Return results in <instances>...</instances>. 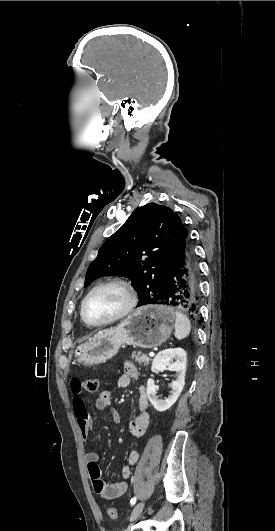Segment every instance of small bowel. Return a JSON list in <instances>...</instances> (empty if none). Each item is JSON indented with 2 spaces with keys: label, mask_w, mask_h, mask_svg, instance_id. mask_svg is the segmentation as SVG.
I'll use <instances>...</instances> for the list:
<instances>
[{
  "label": "small bowel",
  "mask_w": 275,
  "mask_h": 531,
  "mask_svg": "<svg viewBox=\"0 0 275 531\" xmlns=\"http://www.w3.org/2000/svg\"><path fill=\"white\" fill-rule=\"evenodd\" d=\"M139 372L136 366L130 362L124 363V371L117 380L118 388H126L133 379H138ZM67 380L70 385V394L77 398L83 392L77 388L82 377L80 373H69ZM113 393L109 389L100 391L95 405L98 410H106L110 408L112 403ZM73 412L77 418L80 433L84 439H87L89 434L93 431V422L88 416L84 400H73ZM110 416L113 422L119 423L121 415L118 410L111 408ZM150 427V413H149V399L145 387L140 386L138 397V414L130 423V433L133 437L139 438L147 434ZM140 454L137 450L131 449L126 456V463L123 465L121 475L123 480L114 484H106L101 476V470L98 465L99 454L97 451L90 450L85 454V461L89 478L92 482L95 493L105 500H113L124 495L128 489L127 480L131 477V466L135 465L139 460Z\"/></svg>",
  "instance_id": "c3829d8e"
}]
</instances>
